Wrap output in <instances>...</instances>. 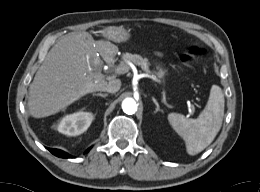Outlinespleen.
<instances>
[{
  "label": "spleen",
  "mask_w": 260,
  "mask_h": 192,
  "mask_svg": "<svg viewBox=\"0 0 260 192\" xmlns=\"http://www.w3.org/2000/svg\"><path fill=\"white\" fill-rule=\"evenodd\" d=\"M224 95L219 86L213 85L205 109L197 119L170 113L168 121L186 144L189 155H196L209 146L218 134L224 116Z\"/></svg>",
  "instance_id": "1"
}]
</instances>
